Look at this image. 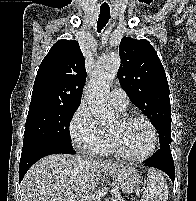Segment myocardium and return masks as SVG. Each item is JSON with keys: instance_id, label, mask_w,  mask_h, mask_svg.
<instances>
[{"instance_id": "f54148a6", "label": "myocardium", "mask_w": 196, "mask_h": 201, "mask_svg": "<svg viewBox=\"0 0 196 201\" xmlns=\"http://www.w3.org/2000/svg\"><path fill=\"white\" fill-rule=\"evenodd\" d=\"M120 119L126 123L133 122V121L144 122L150 128V131L152 134V144L146 153H144L140 156H133L123 150V148L121 147L116 136L112 132H110L109 133L110 140H111L115 153L122 159L130 161V162H143V161L149 159L155 153V151L157 149V145H158V132H157L155 125L151 122L150 119H148L147 117H145L143 115H137V114L124 115Z\"/></svg>"}]
</instances>
